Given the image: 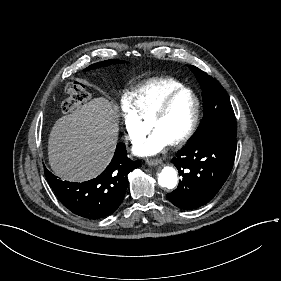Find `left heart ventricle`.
<instances>
[{
	"instance_id": "left-heart-ventricle-1",
	"label": "left heart ventricle",
	"mask_w": 281,
	"mask_h": 281,
	"mask_svg": "<svg viewBox=\"0 0 281 281\" xmlns=\"http://www.w3.org/2000/svg\"><path fill=\"white\" fill-rule=\"evenodd\" d=\"M195 108L194 99L184 94L172 102L151 131L165 137L169 143L179 138L188 128Z\"/></svg>"
}]
</instances>
